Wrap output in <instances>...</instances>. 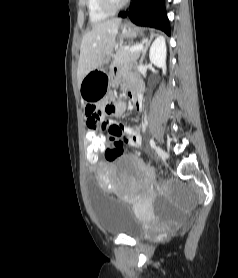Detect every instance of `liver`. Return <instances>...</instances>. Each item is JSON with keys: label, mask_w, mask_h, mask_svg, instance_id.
<instances>
[{"label": "liver", "mask_w": 238, "mask_h": 278, "mask_svg": "<svg viewBox=\"0 0 238 278\" xmlns=\"http://www.w3.org/2000/svg\"><path fill=\"white\" fill-rule=\"evenodd\" d=\"M120 24L119 18L99 22L84 35L77 69L78 86L87 73L102 66L115 43Z\"/></svg>", "instance_id": "6515ba94"}]
</instances>
